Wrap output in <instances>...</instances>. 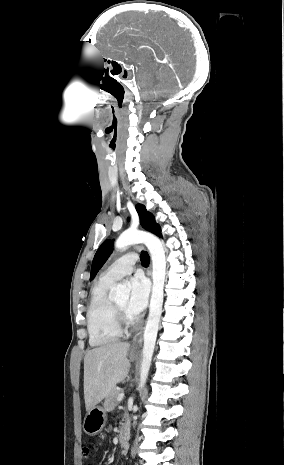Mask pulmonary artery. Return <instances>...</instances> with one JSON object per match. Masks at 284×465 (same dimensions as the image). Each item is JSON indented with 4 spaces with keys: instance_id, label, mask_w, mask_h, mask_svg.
Here are the masks:
<instances>
[{
    "instance_id": "e3ab8cb5",
    "label": "pulmonary artery",
    "mask_w": 284,
    "mask_h": 465,
    "mask_svg": "<svg viewBox=\"0 0 284 465\" xmlns=\"http://www.w3.org/2000/svg\"><path fill=\"white\" fill-rule=\"evenodd\" d=\"M136 260H139V257L134 253L122 254L113 265L101 274V279L110 283L122 279L133 272Z\"/></svg>"
}]
</instances>
